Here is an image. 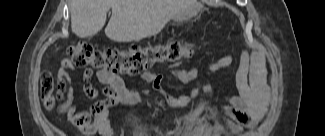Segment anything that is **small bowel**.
Instances as JSON below:
<instances>
[{
	"label": "small bowel",
	"instance_id": "1",
	"mask_svg": "<svg viewBox=\"0 0 325 136\" xmlns=\"http://www.w3.org/2000/svg\"><path fill=\"white\" fill-rule=\"evenodd\" d=\"M233 62V56L227 54L208 66V72L214 73L228 68ZM74 71V66L69 60H64L57 74L58 97L67 99L63 110L67 114L68 120L85 135L100 133L103 136H114L116 132L109 120V107L115 104L133 105L140 102L143 92L140 90H130L125 86L123 79L115 73L99 70L95 73L97 80L109 89L105 91V98L95 103L89 109H82L74 103L72 92L73 85L69 83V74ZM198 70H178L171 66L167 76L174 78L181 84L196 81V86L188 93L174 96L164 90L162 82L165 75H156L148 72L143 75L146 84L161 99L172 108H183L196 100L202 90L208 86L198 80ZM94 73L91 69L83 72L84 91L90 98L98 95V91L91 85L90 80ZM235 85L238 96L230 98L228 104L222 111L234 117L242 127L249 128L252 123L260 121L268 105V92L264 81V59L260 52L250 53L245 49L241 50L239 66L235 74ZM93 120L91 121V119Z\"/></svg>",
	"mask_w": 325,
	"mask_h": 136
}]
</instances>
